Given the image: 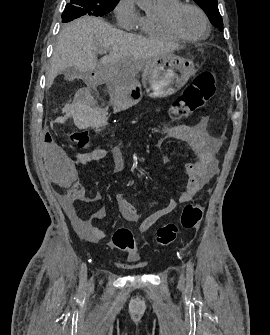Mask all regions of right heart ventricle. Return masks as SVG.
I'll return each mask as SVG.
<instances>
[{
  "label": "right heart ventricle",
  "mask_w": 270,
  "mask_h": 335,
  "mask_svg": "<svg viewBox=\"0 0 270 335\" xmlns=\"http://www.w3.org/2000/svg\"><path fill=\"white\" fill-rule=\"evenodd\" d=\"M181 3L180 0H157L160 13L156 16L140 14L136 28L145 35L161 40H180V38L171 34L165 27L162 16L173 6Z\"/></svg>",
  "instance_id": "right-heart-ventricle-1"
}]
</instances>
